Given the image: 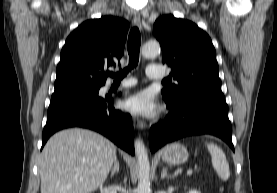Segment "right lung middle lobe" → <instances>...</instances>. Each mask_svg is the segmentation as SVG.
I'll use <instances>...</instances> for the list:
<instances>
[{
    "mask_svg": "<svg viewBox=\"0 0 277 193\" xmlns=\"http://www.w3.org/2000/svg\"><path fill=\"white\" fill-rule=\"evenodd\" d=\"M100 87L91 88V89H85L86 91H99Z\"/></svg>",
    "mask_w": 277,
    "mask_h": 193,
    "instance_id": "right-lung-middle-lobe-1",
    "label": "right lung middle lobe"
}]
</instances>
